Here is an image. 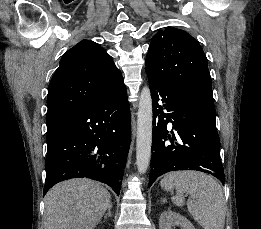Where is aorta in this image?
I'll use <instances>...</instances> for the list:
<instances>
[{
  "instance_id": "1",
  "label": "aorta",
  "mask_w": 261,
  "mask_h": 229,
  "mask_svg": "<svg viewBox=\"0 0 261 229\" xmlns=\"http://www.w3.org/2000/svg\"><path fill=\"white\" fill-rule=\"evenodd\" d=\"M152 121V96L149 86H144L139 98L136 133V165L140 175L146 173L151 159Z\"/></svg>"
}]
</instances>
